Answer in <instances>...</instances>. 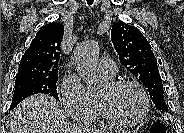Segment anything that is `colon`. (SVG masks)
Instances as JSON below:
<instances>
[{
	"instance_id": "obj_1",
	"label": "colon",
	"mask_w": 184,
	"mask_h": 133,
	"mask_svg": "<svg viewBox=\"0 0 184 133\" xmlns=\"http://www.w3.org/2000/svg\"><path fill=\"white\" fill-rule=\"evenodd\" d=\"M150 133H168V128L165 124L157 122L152 125Z\"/></svg>"
}]
</instances>
